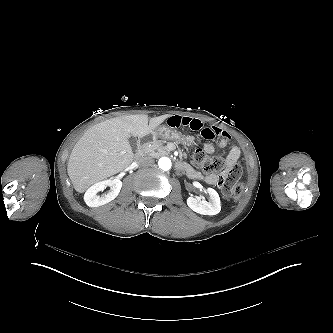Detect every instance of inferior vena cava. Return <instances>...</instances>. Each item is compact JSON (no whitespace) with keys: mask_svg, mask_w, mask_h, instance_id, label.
Here are the masks:
<instances>
[{"mask_svg":"<svg viewBox=\"0 0 333 333\" xmlns=\"http://www.w3.org/2000/svg\"><path fill=\"white\" fill-rule=\"evenodd\" d=\"M154 162V159L150 156H142L138 159V164L141 166H153Z\"/></svg>","mask_w":333,"mask_h":333,"instance_id":"obj_1","label":"inferior vena cava"}]
</instances>
